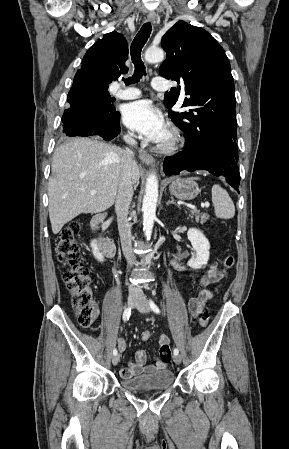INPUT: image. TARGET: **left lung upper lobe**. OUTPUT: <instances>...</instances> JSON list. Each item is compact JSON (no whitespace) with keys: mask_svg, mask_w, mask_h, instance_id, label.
I'll return each instance as SVG.
<instances>
[{"mask_svg":"<svg viewBox=\"0 0 289 449\" xmlns=\"http://www.w3.org/2000/svg\"><path fill=\"white\" fill-rule=\"evenodd\" d=\"M167 53L159 73L184 84L182 107L187 112H170L172 121L186 134L199 136L212 129L224 130L237 138L234 81L231 66L220 44L204 29L178 21L162 38ZM181 87L165 93L164 103L172 107Z\"/></svg>","mask_w":289,"mask_h":449,"instance_id":"left-lung-upper-lobe-1","label":"left lung upper lobe"}]
</instances>
